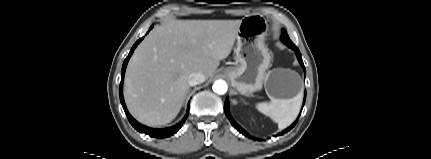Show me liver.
Returning a JSON list of instances; mask_svg holds the SVG:
<instances>
[{
  "label": "liver",
  "mask_w": 431,
  "mask_h": 159,
  "mask_svg": "<svg viewBox=\"0 0 431 159\" xmlns=\"http://www.w3.org/2000/svg\"><path fill=\"white\" fill-rule=\"evenodd\" d=\"M241 20H170L155 27L127 66L124 98L131 115L148 126L171 122L189 91L188 78L213 75L231 53Z\"/></svg>",
  "instance_id": "obj_1"
}]
</instances>
